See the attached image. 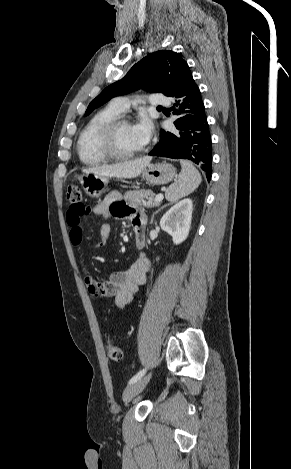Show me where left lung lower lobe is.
I'll return each instance as SVG.
<instances>
[{
    "instance_id": "left-lung-lower-lobe-1",
    "label": "left lung lower lobe",
    "mask_w": 291,
    "mask_h": 469,
    "mask_svg": "<svg viewBox=\"0 0 291 469\" xmlns=\"http://www.w3.org/2000/svg\"><path fill=\"white\" fill-rule=\"evenodd\" d=\"M170 97L175 101L171 110L178 115L174 122L177 130L174 132L161 130L160 141L149 155L190 160L200 166L210 181L211 135L201 93L190 69L184 74Z\"/></svg>"
}]
</instances>
